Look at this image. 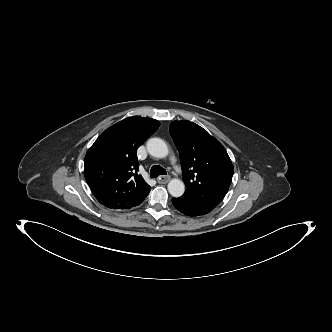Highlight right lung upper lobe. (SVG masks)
<instances>
[{
  "label": "right lung upper lobe",
  "instance_id": "obj_1",
  "mask_svg": "<svg viewBox=\"0 0 332 332\" xmlns=\"http://www.w3.org/2000/svg\"><path fill=\"white\" fill-rule=\"evenodd\" d=\"M159 126L151 118L128 117L106 129L88 150L84 175L101 204L130 209L146 198L151 187L137 174L136 151Z\"/></svg>",
  "mask_w": 332,
  "mask_h": 332
}]
</instances>
